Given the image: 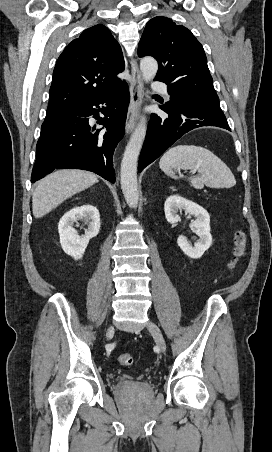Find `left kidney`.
I'll use <instances>...</instances> for the list:
<instances>
[{
  "instance_id": "5707ae66",
  "label": "left kidney",
  "mask_w": 272,
  "mask_h": 452,
  "mask_svg": "<svg viewBox=\"0 0 272 452\" xmlns=\"http://www.w3.org/2000/svg\"><path fill=\"white\" fill-rule=\"evenodd\" d=\"M181 210L196 218L193 226L196 228V234L199 239L192 245L185 236L180 235L177 239L178 246L188 257L193 259L201 258L212 244L209 213L197 203L179 195H171L166 199L164 211L165 217L170 224H175L180 220L178 212Z\"/></svg>"
}]
</instances>
